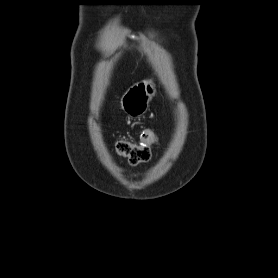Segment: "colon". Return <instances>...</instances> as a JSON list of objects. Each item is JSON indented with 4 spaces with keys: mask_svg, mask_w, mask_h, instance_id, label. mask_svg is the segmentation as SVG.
Here are the masks:
<instances>
[{
    "mask_svg": "<svg viewBox=\"0 0 278 278\" xmlns=\"http://www.w3.org/2000/svg\"><path fill=\"white\" fill-rule=\"evenodd\" d=\"M141 143L135 144L128 140L116 144V152L127 158L130 163L137 164L146 161L150 155V147L157 141V136L152 130H146L141 136Z\"/></svg>",
    "mask_w": 278,
    "mask_h": 278,
    "instance_id": "obj_1",
    "label": "colon"
}]
</instances>
